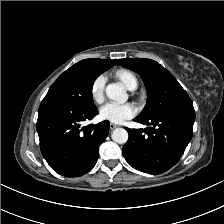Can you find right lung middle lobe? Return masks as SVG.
<instances>
[{"mask_svg": "<svg viewBox=\"0 0 224 224\" xmlns=\"http://www.w3.org/2000/svg\"><path fill=\"white\" fill-rule=\"evenodd\" d=\"M105 70L82 60L63 72L52 84L45 99H54L77 109L93 110L92 86Z\"/></svg>", "mask_w": 224, "mask_h": 224, "instance_id": "right-lung-middle-lobe-1", "label": "right lung middle lobe"}]
</instances>
